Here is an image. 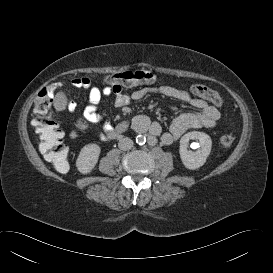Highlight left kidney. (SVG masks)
Listing matches in <instances>:
<instances>
[{
  "mask_svg": "<svg viewBox=\"0 0 273 273\" xmlns=\"http://www.w3.org/2000/svg\"><path fill=\"white\" fill-rule=\"evenodd\" d=\"M190 140H198V149L196 151L188 150ZM212 140L209 135L199 131L188 132L180 139V157L182 163L187 169L195 170L200 168L206 162L211 152Z\"/></svg>",
  "mask_w": 273,
  "mask_h": 273,
  "instance_id": "left-kidney-1",
  "label": "left kidney"
}]
</instances>
